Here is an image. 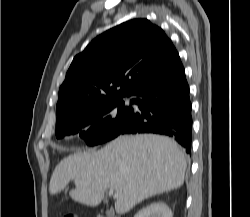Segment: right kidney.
I'll return each mask as SVG.
<instances>
[{"label": "right kidney", "instance_id": "obj_1", "mask_svg": "<svg viewBox=\"0 0 250 217\" xmlns=\"http://www.w3.org/2000/svg\"><path fill=\"white\" fill-rule=\"evenodd\" d=\"M134 217H173V213L165 203L154 202L141 209Z\"/></svg>", "mask_w": 250, "mask_h": 217}]
</instances>
